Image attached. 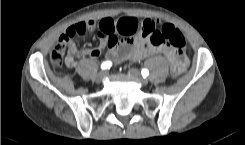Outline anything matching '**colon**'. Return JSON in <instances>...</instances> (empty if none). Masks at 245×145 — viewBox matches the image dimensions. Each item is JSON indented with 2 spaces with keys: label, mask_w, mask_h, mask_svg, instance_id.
Instances as JSON below:
<instances>
[{
  "label": "colon",
  "mask_w": 245,
  "mask_h": 145,
  "mask_svg": "<svg viewBox=\"0 0 245 145\" xmlns=\"http://www.w3.org/2000/svg\"><path fill=\"white\" fill-rule=\"evenodd\" d=\"M88 29V26L82 22L76 23L67 28L54 49L51 51L50 60L54 67L62 65L65 55V47L68 40L76 35L79 36L86 34L89 31ZM137 33L154 46L167 45L175 50H181L186 46V39L183 33L172 24H163L160 26L146 24L140 32L132 26L127 30V34L129 35ZM180 71L181 67L176 62H173L171 65V75L174 76Z\"/></svg>",
  "instance_id": "5ec220e1"
}]
</instances>
